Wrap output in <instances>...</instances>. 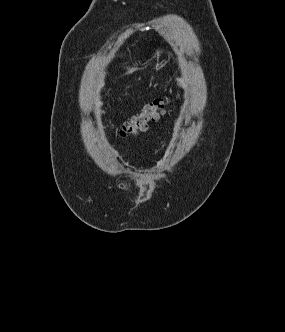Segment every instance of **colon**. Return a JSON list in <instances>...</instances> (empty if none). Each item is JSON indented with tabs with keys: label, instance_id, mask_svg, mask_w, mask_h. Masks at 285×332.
<instances>
[{
	"label": "colon",
	"instance_id": "1",
	"mask_svg": "<svg viewBox=\"0 0 285 332\" xmlns=\"http://www.w3.org/2000/svg\"><path fill=\"white\" fill-rule=\"evenodd\" d=\"M166 99H157L147 105L138 114L127 120L120 131L122 136H134L146 130L150 122L158 120L164 113Z\"/></svg>",
	"mask_w": 285,
	"mask_h": 332
}]
</instances>
